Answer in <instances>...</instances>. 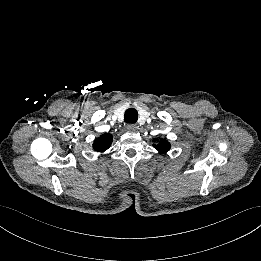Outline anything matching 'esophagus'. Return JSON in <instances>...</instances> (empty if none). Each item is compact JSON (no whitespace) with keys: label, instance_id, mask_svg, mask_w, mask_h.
I'll return each instance as SVG.
<instances>
[{"label":"esophagus","instance_id":"obj_1","mask_svg":"<svg viewBox=\"0 0 261 261\" xmlns=\"http://www.w3.org/2000/svg\"><path fill=\"white\" fill-rule=\"evenodd\" d=\"M126 129L130 132H134L137 129V124L134 123L127 124Z\"/></svg>","mask_w":261,"mask_h":261}]
</instances>
